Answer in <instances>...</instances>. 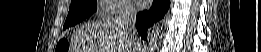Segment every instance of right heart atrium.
<instances>
[{"instance_id":"1","label":"right heart atrium","mask_w":261,"mask_h":52,"mask_svg":"<svg viewBox=\"0 0 261 52\" xmlns=\"http://www.w3.org/2000/svg\"><path fill=\"white\" fill-rule=\"evenodd\" d=\"M100 3L104 8L102 15L106 17H129L134 12L127 0H102Z\"/></svg>"}]
</instances>
